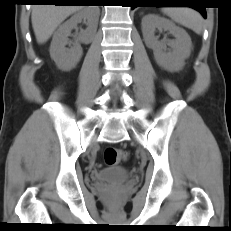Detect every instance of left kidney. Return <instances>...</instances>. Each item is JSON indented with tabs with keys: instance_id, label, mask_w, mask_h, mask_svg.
<instances>
[{
	"instance_id": "1",
	"label": "left kidney",
	"mask_w": 231,
	"mask_h": 231,
	"mask_svg": "<svg viewBox=\"0 0 231 231\" xmlns=\"http://www.w3.org/2000/svg\"><path fill=\"white\" fill-rule=\"evenodd\" d=\"M156 29L169 31L175 39L159 41L155 36ZM142 32L145 44L153 50L158 65L171 72L183 68L192 46L191 38L183 28L168 19L149 14L142 19ZM166 44L171 47V51L165 52Z\"/></svg>"
}]
</instances>
